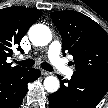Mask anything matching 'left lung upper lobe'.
I'll use <instances>...</instances> for the list:
<instances>
[{
  "mask_svg": "<svg viewBox=\"0 0 108 108\" xmlns=\"http://www.w3.org/2000/svg\"><path fill=\"white\" fill-rule=\"evenodd\" d=\"M51 18L62 36V51L74 57L75 74L108 77V35L94 20L76 11H56Z\"/></svg>",
  "mask_w": 108,
  "mask_h": 108,
  "instance_id": "left-lung-upper-lobe-1",
  "label": "left lung upper lobe"
}]
</instances>
